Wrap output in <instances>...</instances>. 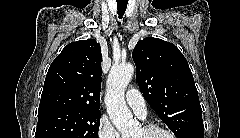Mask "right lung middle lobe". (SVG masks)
Returning a JSON list of instances; mask_svg holds the SVG:
<instances>
[{"label": "right lung middle lobe", "instance_id": "1", "mask_svg": "<svg viewBox=\"0 0 240 138\" xmlns=\"http://www.w3.org/2000/svg\"><path fill=\"white\" fill-rule=\"evenodd\" d=\"M100 111L57 110L38 115L35 138H97Z\"/></svg>", "mask_w": 240, "mask_h": 138}]
</instances>
